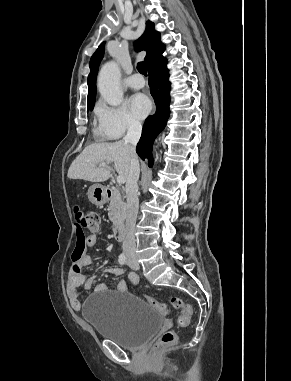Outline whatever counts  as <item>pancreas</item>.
<instances>
[{
    "label": "pancreas",
    "mask_w": 291,
    "mask_h": 381,
    "mask_svg": "<svg viewBox=\"0 0 291 381\" xmlns=\"http://www.w3.org/2000/svg\"><path fill=\"white\" fill-rule=\"evenodd\" d=\"M125 202L118 190H114L113 197L111 198L108 210L109 218L113 223V227L116 228L124 220L125 216Z\"/></svg>",
    "instance_id": "pancreas-1"
}]
</instances>
